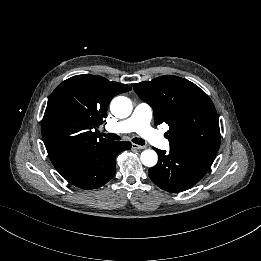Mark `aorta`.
I'll return each mask as SVG.
<instances>
[{
	"instance_id": "762f6f07",
	"label": "aorta",
	"mask_w": 261,
	"mask_h": 261,
	"mask_svg": "<svg viewBox=\"0 0 261 261\" xmlns=\"http://www.w3.org/2000/svg\"><path fill=\"white\" fill-rule=\"evenodd\" d=\"M132 102L129 98L118 96L114 98L110 104L112 114L117 118H127L132 113ZM141 162L148 167H152L157 163L158 156L154 150L147 149L141 153Z\"/></svg>"
}]
</instances>
